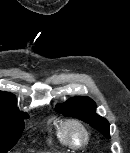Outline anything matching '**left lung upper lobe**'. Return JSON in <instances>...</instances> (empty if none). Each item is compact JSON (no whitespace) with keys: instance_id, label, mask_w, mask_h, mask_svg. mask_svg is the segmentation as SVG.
Here are the masks:
<instances>
[{"instance_id":"left-lung-upper-lobe-1","label":"left lung upper lobe","mask_w":130,"mask_h":153,"mask_svg":"<svg viewBox=\"0 0 130 153\" xmlns=\"http://www.w3.org/2000/svg\"><path fill=\"white\" fill-rule=\"evenodd\" d=\"M95 109V102L88 97H73L62 105L56 106L57 112L67 117L78 118L90 124V126L101 131L109 139V123L105 118L97 115Z\"/></svg>"}]
</instances>
